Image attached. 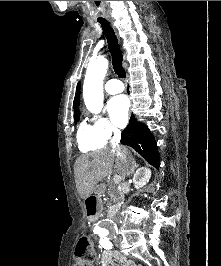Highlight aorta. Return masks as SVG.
I'll use <instances>...</instances> for the list:
<instances>
[{"label":"aorta","instance_id":"aorta-1","mask_svg":"<svg viewBox=\"0 0 221 266\" xmlns=\"http://www.w3.org/2000/svg\"><path fill=\"white\" fill-rule=\"evenodd\" d=\"M108 60L98 57L88 65L84 85L83 98L87 109L92 113H99L103 108V79L107 72ZM111 230V227H104Z\"/></svg>","mask_w":221,"mask_h":266}]
</instances>
